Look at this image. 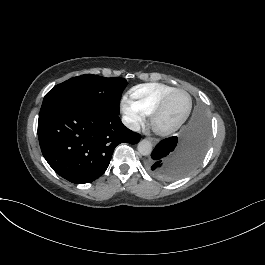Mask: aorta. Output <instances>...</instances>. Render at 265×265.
Listing matches in <instances>:
<instances>
[{
	"label": "aorta",
	"instance_id": "1",
	"mask_svg": "<svg viewBox=\"0 0 265 265\" xmlns=\"http://www.w3.org/2000/svg\"><path fill=\"white\" fill-rule=\"evenodd\" d=\"M137 149H138V152L143 155V156H147L151 153L152 151V144L150 141L148 140H141L139 143H138V146H137Z\"/></svg>",
	"mask_w": 265,
	"mask_h": 265
}]
</instances>
